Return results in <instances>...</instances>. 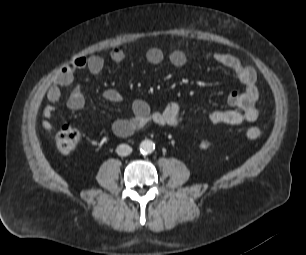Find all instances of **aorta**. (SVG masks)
<instances>
[{
  "label": "aorta",
  "mask_w": 306,
  "mask_h": 255,
  "mask_svg": "<svg viewBox=\"0 0 306 255\" xmlns=\"http://www.w3.org/2000/svg\"><path fill=\"white\" fill-rule=\"evenodd\" d=\"M155 149V144L153 141L146 139L140 143L139 150L143 155L151 154Z\"/></svg>",
  "instance_id": "aorta-1"
}]
</instances>
